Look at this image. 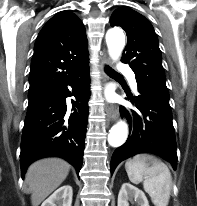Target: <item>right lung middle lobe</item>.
I'll return each instance as SVG.
<instances>
[{
    "instance_id": "dd1d6c3e",
    "label": "right lung middle lobe",
    "mask_w": 197,
    "mask_h": 206,
    "mask_svg": "<svg viewBox=\"0 0 197 206\" xmlns=\"http://www.w3.org/2000/svg\"><path fill=\"white\" fill-rule=\"evenodd\" d=\"M52 91H29L28 93V99H29V104H33L47 95H49Z\"/></svg>"
}]
</instances>
